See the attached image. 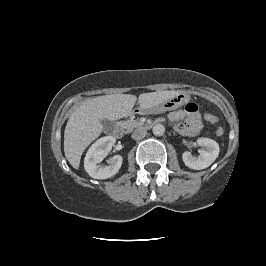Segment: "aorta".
I'll use <instances>...</instances> for the list:
<instances>
[{
	"mask_svg": "<svg viewBox=\"0 0 266 266\" xmlns=\"http://www.w3.org/2000/svg\"><path fill=\"white\" fill-rule=\"evenodd\" d=\"M152 132L155 136H162L165 133V127L162 124H156Z\"/></svg>",
	"mask_w": 266,
	"mask_h": 266,
	"instance_id": "762f6f07",
	"label": "aorta"
}]
</instances>
